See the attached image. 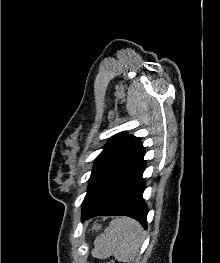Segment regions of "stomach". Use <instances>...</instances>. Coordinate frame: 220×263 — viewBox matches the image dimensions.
Here are the masks:
<instances>
[{
  "mask_svg": "<svg viewBox=\"0 0 220 263\" xmlns=\"http://www.w3.org/2000/svg\"><path fill=\"white\" fill-rule=\"evenodd\" d=\"M101 226L98 225V224H94L93 227H92V230H100Z\"/></svg>",
  "mask_w": 220,
  "mask_h": 263,
  "instance_id": "1",
  "label": "stomach"
}]
</instances>
